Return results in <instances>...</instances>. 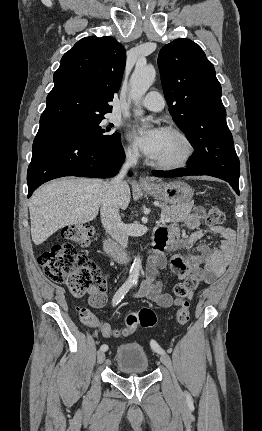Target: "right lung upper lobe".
<instances>
[{
	"mask_svg": "<svg viewBox=\"0 0 262 431\" xmlns=\"http://www.w3.org/2000/svg\"><path fill=\"white\" fill-rule=\"evenodd\" d=\"M126 63L124 47L114 38L86 37L66 52L54 73L40 127L112 112Z\"/></svg>",
	"mask_w": 262,
	"mask_h": 431,
	"instance_id": "cb5924a9",
	"label": "right lung upper lobe"
}]
</instances>
